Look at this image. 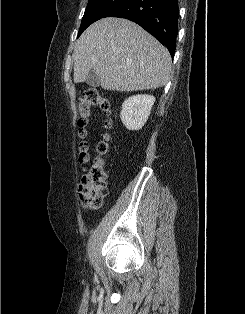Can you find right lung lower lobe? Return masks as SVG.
Segmentation results:
<instances>
[{
  "mask_svg": "<svg viewBox=\"0 0 245 314\" xmlns=\"http://www.w3.org/2000/svg\"><path fill=\"white\" fill-rule=\"evenodd\" d=\"M105 17L126 18L137 23L174 55L178 32V0H126Z\"/></svg>",
  "mask_w": 245,
  "mask_h": 314,
  "instance_id": "1",
  "label": "right lung lower lobe"
}]
</instances>
